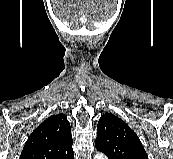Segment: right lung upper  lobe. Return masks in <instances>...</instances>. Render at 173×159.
I'll return each instance as SVG.
<instances>
[{
    "label": "right lung upper lobe",
    "instance_id": "obj_1",
    "mask_svg": "<svg viewBox=\"0 0 173 159\" xmlns=\"http://www.w3.org/2000/svg\"><path fill=\"white\" fill-rule=\"evenodd\" d=\"M73 139L64 114L52 115L30 135L20 159H71Z\"/></svg>",
    "mask_w": 173,
    "mask_h": 159
}]
</instances>
